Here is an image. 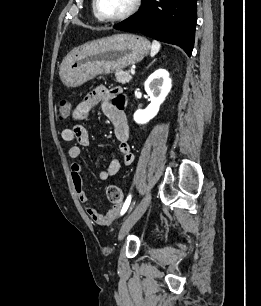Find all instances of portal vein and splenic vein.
I'll return each mask as SVG.
<instances>
[{
    "label": "portal vein and splenic vein",
    "mask_w": 261,
    "mask_h": 306,
    "mask_svg": "<svg viewBox=\"0 0 261 306\" xmlns=\"http://www.w3.org/2000/svg\"><path fill=\"white\" fill-rule=\"evenodd\" d=\"M131 74H133V75H134V74H135V70H131Z\"/></svg>",
    "instance_id": "obj_1"
}]
</instances>
